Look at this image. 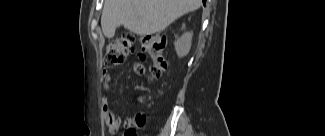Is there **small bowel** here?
<instances>
[{
    "instance_id": "1",
    "label": "small bowel",
    "mask_w": 325,
    "mask_h": 136,
    "mask_svg": "<svg viewBox=\"0 0 325 136\" xmlns=\"http://www.w3.org/2000/svg\"><path fill=\"white\" fill-rule=\"evenodd\" d=\"M135 50L138 48L136 45L133 47ZM136 54V62L138 65L135 67V71L139 75L144 74V68L140 64H147L148 59L146 57L145 53H141L142 51L138 49ZM110 81H111V73L108 70L102 71V84L104 88L108 89L110 87ZM102 109L104 112V117L106 124L109 128V131L111 133H116L120 129L122 122L120 118L113 112L111 109V106L107 100V98H103L102 100ZM146 122V114L144 112H138L133 117L127 119L124 123L126 132L132 131L134 132L136 128L141 127Z\"/></svg>"
}]
</instances>
